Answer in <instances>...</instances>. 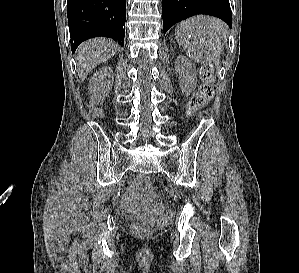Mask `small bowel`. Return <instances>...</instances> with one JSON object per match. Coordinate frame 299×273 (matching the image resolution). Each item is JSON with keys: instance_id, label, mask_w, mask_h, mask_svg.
<instances>
[{"instance_id": "1", "label": "small bowel", "mask_w": 299, "mask_h": 273, "mask_svg": "<svg viewBox=\"0 0 299 273\" xmlns=\"http://www.w3.org/2000/svg\"><path fill=\"white\" fill-rule=\"evenodd\" d=\"M153 210H154L156 213L160 212V211H161V205L158 204V203H154V204H153Z\"/></svg>"}]
</instances>
